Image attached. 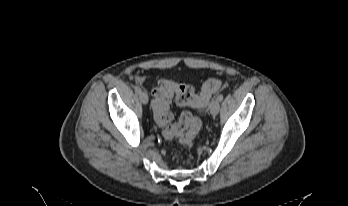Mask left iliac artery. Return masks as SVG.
I'll return each instance as SVG.
<instances>
[{"mask_svg":"<svg viewBox=\"0 0 348 206\" xmlns=\"http://www.w3.org/2000/svg\"><path fill=\"white\" fill-rule=\"evenodd\" d=\"M217 100H218L219 102H221V101L223 100V94L218 95V96H217Z\"/></svg>","mask_w":348,"mask_h":206,"instance_id":"obj_1","label":"left iliac artery"}]
</instances>
